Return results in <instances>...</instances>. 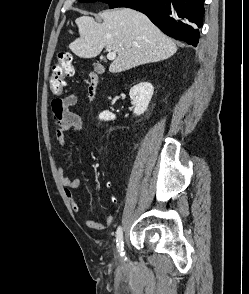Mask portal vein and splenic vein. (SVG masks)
Instances as JSON below:
<instances>
[{"label":"portal vein and splenic vein","mask_w":249,"mask_h":294,"mask_svg":"<svg viewBox=\"0 0 249 294\" xmlns=\"http://www.w3.org/2000/svg\"><path fill=\"white\" fill-rule=\"evenodd\" d=\"M115 58H116V52L109 50V52L107 54V59L108 60H114Z\"/></svg>","instance_id":"obj_1"}]
</instances>
